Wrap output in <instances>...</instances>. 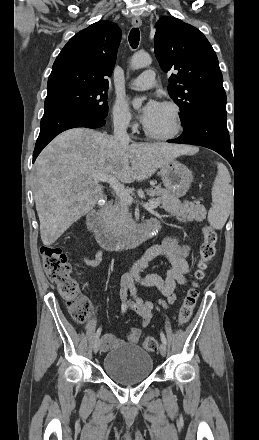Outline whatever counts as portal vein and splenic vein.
Instances as JSON below:
<instances>
[{
	"label": "portal vein and splenic vein",
	"mask_w": 259,
	"mask_h": 440,
	"mask_svg": "<svg viewBox=\"0 0 259 440\" xmlns=\"http://www.w3.org/2000/svg\"><path fill=\"white\" fill-rule=\"evenodd\" d=\"M93 179L96 181H103L110 184L116 195L124 202L131 204L133 201L130 193L125 189L124 185H122L115 176L113 175H104L97 174L93 176ZM160 203L156 200H150L147 203H142V206L147 210H153L157 208Z\"/></svg>",
	"instance_id": "obj_1"
}]
</instances>
